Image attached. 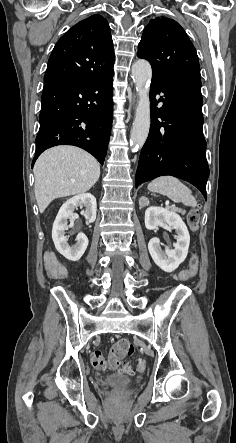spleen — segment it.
I'll return each instance as SVG.
<instances>
[{"mask_svg": "<svg viewBox=\"0 0 236 443\" xmlns=\"http://www.w3.org/2000/svg\"><path fill=\"white\" fill-rule=\"evenodd\" d=\"M148 190L168 196L174 202L196 207L197 202L191 190L181 181L172 176H162L148 184Z\"/></svg>", "mask_w": 236, "mask_h": 443, "instance_id": "obj_1", "label": "spleen"}]
</instances>
